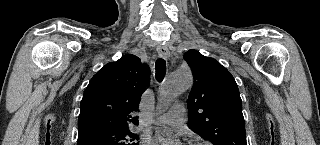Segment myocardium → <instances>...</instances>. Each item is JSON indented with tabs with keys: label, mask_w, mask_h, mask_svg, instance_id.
<instances>
[{
	"label": "myocardium",
	"mask_w": 320,
	"mask_h": 145,
	"mask_svg": "<svg viewBox=\"0 0 320 145\" xmlns=\"http://www.w3.org/2000/svg\"><path fill=\"white\" fill-rule=\"evenodd\" d=\"M193 145H207V143L202 142V141H195V142L193 143Z\"/></svg>",
	"instance_id": "myocardium-1"
}]
</instances>
